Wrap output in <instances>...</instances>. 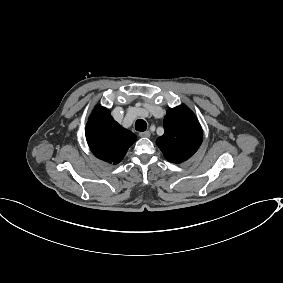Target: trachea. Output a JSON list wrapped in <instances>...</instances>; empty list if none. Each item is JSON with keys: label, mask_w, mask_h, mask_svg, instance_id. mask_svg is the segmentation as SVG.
I'll list each match as a JSON object with an SVG mask.
<instances>
[{"label": "trachea", "mask_w": 283, "mask_h": 283, "mask_svg": "<svg viewBox=\"0 0 283 283\" xmlns=\"http://www.w3.org/2000/svg\"><path fill=\"white\" fill-rule=\"evenodd\" d=\"M135 129H136L137 131H142V132H144V131H146V129H147V123H146L144 120H142V119H138V120L135 122Z\"/></svg>", "instance_id": "trachea-1"}]
</instances>
